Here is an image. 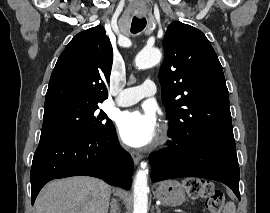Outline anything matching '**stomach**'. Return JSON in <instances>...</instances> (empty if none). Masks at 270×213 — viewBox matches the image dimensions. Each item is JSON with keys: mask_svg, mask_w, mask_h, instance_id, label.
I'll use <instances>...</instances> for the list:
<instances>
[{"mask_svg": "<svg viewBox=\"0 0 270 213\" xmlns=\"http://www.w3.org/2000/svg\"><path fill=\"white\" fill-rule=\"evenodd\" d=\"M156 197L168 206H178L185 201V192L177 180H167L157 186Z\"/></svg>", "mask_w": 270, "mask_h": 213, "instance_id": "0dacf381", "label": "stomach"}]
</instances>
